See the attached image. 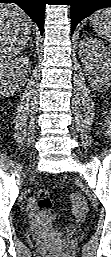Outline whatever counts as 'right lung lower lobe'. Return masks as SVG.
<instances>
[{"instance_id":"98d812e1","label":"right lung lower lobe","mask_w":111,"mask_h":257,"mask_svg":"<svg viewBox=\"0 0 111 257\" xmlns=\"http://www.w3.org/2000/svg\"><path fill=\"white\" fill-rule=\"evenodd\" d=\"M0 3H15L19 5L38 25L40 33L43 34L46 0H0Z\"/></svg>"}]
</instances>
